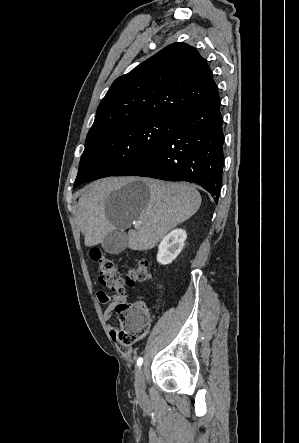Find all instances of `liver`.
<instances>
[{
	"instance_id": "obj_1",
	"label": "liver",
	"mask_w": 299,
	"mask_h": 443,
	"mask_svg": "<svg viewBox=\"0 0 299 443\" xmlns=\"http://www.w3.org/2000/svg\"><path fill=\"white\" fill-rule=\"evenodd\" d=\"M193 185L151 178L109 177L92 182L78 201V220L85 246L102 243L112 231L140 221L128 231L132 250L152 249L174 227L193 216L201 205Z\"/></svg>"
}]
</instances>
